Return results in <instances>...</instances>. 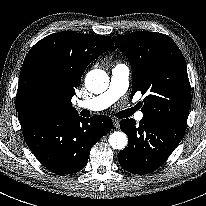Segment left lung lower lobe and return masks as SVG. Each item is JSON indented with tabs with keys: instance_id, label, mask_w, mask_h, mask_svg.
I'll list each match as a JSON object with an SVG mask.
<instances>
[{
	"instance_id": "1",
	"label": "left lung lower lobe",
	"mask_w": 206,
	"mask_h": 206,
	"mask_svg": "<svg viewBox=\"0 0 206 206\" xmlns=\"http://www.w3.org/2000/svg\"><path fill=\"white\" fill-rule=\"evenodd\" d=\"M120 128L128 136L127 147L118 154L120 166L135 174H147L160 167L181 141L186 126L143 117L123 119Z\"/></svg>"
}]
</instances>
